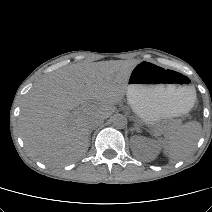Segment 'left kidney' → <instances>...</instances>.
<instances>
[{
  "label": "left kidney",
  "instance_id": "5707ae66",
  "mask_svg": "<svg viewBox=\"0 0 212 212\" xmlns=\"http://www.w3.org/2000/svg\"><path fill=\"white\" fill-rule=\"evenodd\" d=\"M133 141L136 142V148L134 149V154L143 160H152L154 159L158 152L159 146L156 141L147 139L142 136H134Z\"/></svg>",
  "mask_w": 212,
  "mask_h": 212
}]
</instances>
